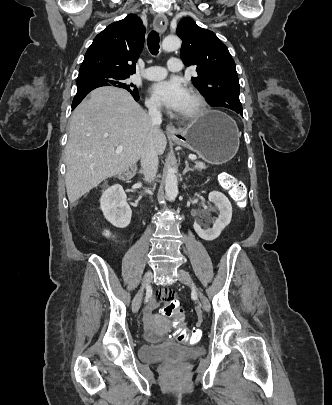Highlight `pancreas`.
<instances>
[{"instance_id":"cf45deb5","label":"pancreas","mask_w":332,"mask_h":405,"mask_svg":"<svg viewBox=\"0 0 332 405\" xmlns=\"http://www.w3.org/2000/svg\"><path fill=\"white\" fill-rule=\"evenodd\" d=\"M195 168H196L197 170H203V169L206 168V166H205V164H204L203 162L196 161V162H195Z\"/></svg>"}]
</instances>
